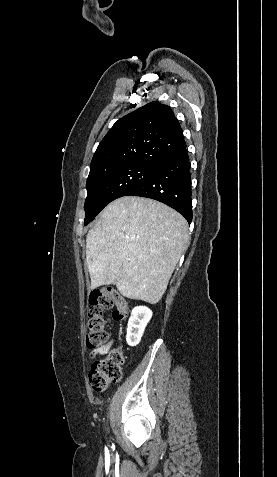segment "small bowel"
<instances>
[{
    "mask_svg": "<svg viewBox=\"0 0 277 477\" xmlns=\"http://www.w3.org/2000/svg\"><path fill=\"white\" fill-rule=\"evenodd\" d=\"M114 343V340H110L108 343H106L105 345L101 346V347H98V348H94L93 350H91L90 352V357L91 358H96L97 356H104L106 355L109 351H110V348L111 346L113 345Z\"/></svg>",
    "mask_w": 277,
    "mask_h": 477,
    "instance_id": "obj_1",
    "label": "small bowel"
}]
</instances>
